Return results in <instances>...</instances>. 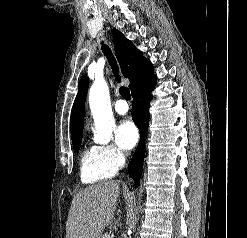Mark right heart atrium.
<instances>
[{
  "label": "right heart atrium",
  "mask_w": 247,
  "mask_h": 238,
  "mask_svg": "<svg viewBox=\"0 0 247 238\" xmlns=\"http://www.w3.org/2000/svg\"><path fill=\"white\" fill-rule=\"evenodd\" d=\"M106 161L116 170L125 162V155L114 145L101 146Z\"/></svg>",
  "instance_id": "1"
}]
</instances>
